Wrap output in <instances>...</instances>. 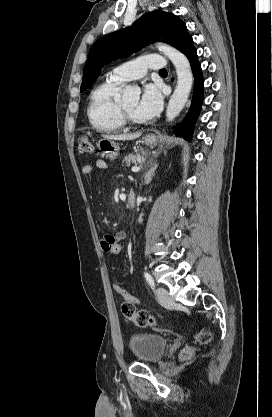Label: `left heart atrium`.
<instances>
[{
	"mask_svg": "<svg viewBox=\"0 0 272 417\" xmlns=\"http://www.w3.org/2000/svg\"><path fill=\"white\" fill-rule=\"evenodd\" d=\"M163 105V95L159 85L148 83L144 86L136 114L143 120L157 115Z\"/></svg>",
	"mask_w": 272,
	"mask_h": 417,
	"instance_id": "left-heart-atrium-1",
	"label": "left heart atrium"
}]
</instances>
